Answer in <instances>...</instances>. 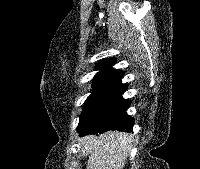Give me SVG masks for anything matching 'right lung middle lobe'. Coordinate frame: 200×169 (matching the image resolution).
Returning a JSON list of instances; mask_svg holds the SVG:
<instances>
[{
	"instance_id": "dd1d6c3e",
	"label": "right lung middle lobe",
	"mask_w": 200,
	"mask_h": 169,
	"mask_svg": "<svg viewBox=\"0 0 200 169\" xmlns=\"http://www.w3.org/2000/svg\"><path fill=\"white\" fill-rule=\"evenodd\" d=\"M115 86H100L94 88L92 94L84 103V108L80 116L78 129H80L86 121L97 112V110L110 98L114 92Z\"/></svg>"
}]
</instances>
